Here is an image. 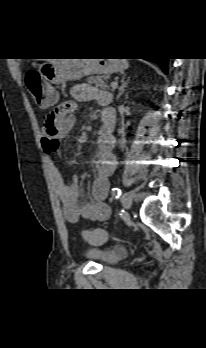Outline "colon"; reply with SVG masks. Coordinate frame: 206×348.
Masks as SVG:
<instances>
[{
  "instance_id": "1",
  "label": "colon",
  "mask_w": 206,
  "mask_h": 348,
  "mask_svg": "<svg viewBox=\"0 0 206 348\" xmlns=\"http://www.w3.org/2000/svg\"><path fill=\"white\" fill-rule=\"evenodd\" d=\"M25 84L33 99L39 101L45 88L40 73L30 70L25 75ZM83 237L91 244H100L106 241L107 233L103 230H87L83 232Z\"/></svg>"
}]
</instances>
